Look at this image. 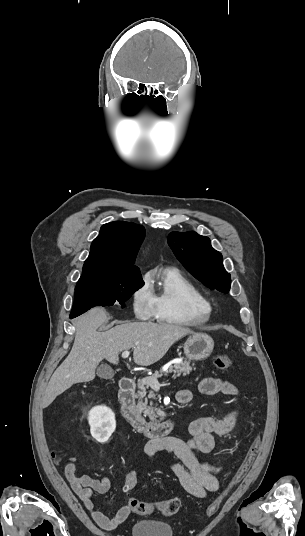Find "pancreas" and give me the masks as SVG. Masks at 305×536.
Masks as SVG:
<instances>
[{
    "label": "pancreas",
    "instance_id": "1",
    "mask_svg": "<svg viewBox=\"0 0 305 536\" xmlns=\"http://www.w3.org/2000/svg\"><path fill=\"white\" fill-rule=\"evenodd\" d=\"M191 370H195V368L190 366V362H182V364H174V366H170V368H168L167 372H164V374L161 368L159 372H155L153 376H149V378H146V380H139L137 384V396H139L138 404L136 406L137 410H139V412H143L144 416H148L150 420H155L156 414L154 412V408H152L154 404L153 402H149V400H157V394H154L152 390H149V386H151L150 382H153L154 378H161V376H167V374H173L172 378L175 380V378H179V376H187V374H190ZM148 404H150V406H148Z\"/></svg>",
    "mask_w": 305,
    "mask_h": 536
}]
</instances>
